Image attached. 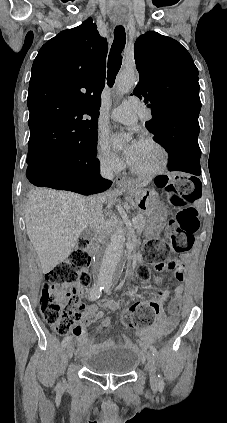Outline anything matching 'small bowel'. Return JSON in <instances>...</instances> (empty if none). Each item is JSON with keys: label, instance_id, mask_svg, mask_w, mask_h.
<instances>
[{"label": "small bowel", "instance_id": "c3829d8e", "mask_svg": "<svg viewBox=\"0 0 227 423\" xmlns=\"http://www.w3.org/2000/svg\"><path fill=\"white\" fill-rule=\"evenodd\" d=\"M82 293L83 290H79V294ZM121 304L122 303L120 301L102 299L99 301L98 305H90L85 309L82 322L79 323L73 330L74 335L77 337L78 349L81 353H85L90 350V347L88 346L87 325L93 323L97 319H100V325L93 332L94 335H97L110 324V317L105 316L103 312L98 310V307L114 311L118 309ZM181 305L182 289L179 287L176 289L174 299L168 304L170 317H167L163 312H160L155 316L151 325L137 331L142 348H146L149 343L166 336L175 328L179 319ZM125 342L134 349H138V347L130 340H125Z\"/></svg>", "mask_w": 227, "mask_h": 423}]
</instances>
